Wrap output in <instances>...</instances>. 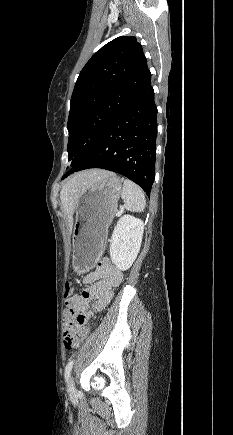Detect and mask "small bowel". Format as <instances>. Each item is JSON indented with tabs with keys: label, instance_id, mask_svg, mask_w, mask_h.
Wrapping results in <instances>:
<instances>
[{
	"label": "small bowel",
	"instance_id": "small-bowel-1",
	"mask_svg": "<svg viewBox=\"0 0 233 435\" xmlns=\"http://www.w3.org/2000/svg\"><path fill=\"white\" fill-rule=\"evenodd\" d=\"M121 271L110 260L101 259L95 270L83 279L85 287L81 295H71L65 299L67 311L64 313V326L77 320L75 328L76 342H82L89 333L86 320L93 318L112 300L113 289L122 282ZM80 318V319H79Z\"/></svg>",
	"mask_w": 233,
	"mask_h": 435
}]
</instances>
